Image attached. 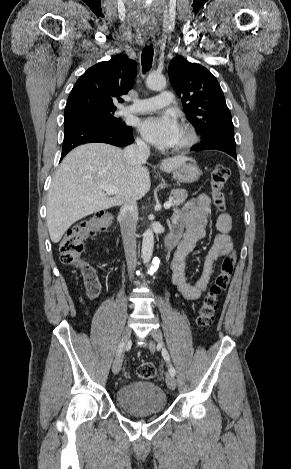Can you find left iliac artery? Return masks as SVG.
<instances>
[{"label": "left iliac artery", "mask_w": 291, "mask_h": 469, "mask_svg": "<svg viewBox=\"0 0 291 469\" xmlns=\"http://www.w3.org/2000/svg\"><path fill=\"white\" fill-rule=\"evenodd\" d=\"M162 355H163L165 361H166V362L168 363V365H169V373L174 376V375L176 374V371H175L174 367H173V366L171 365V363H170V357H169V354H168V351L166 350V348H163V349H162Z\"/></svg>", "instance_id": "1"}]
</instances>
